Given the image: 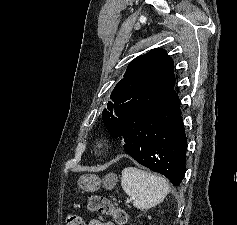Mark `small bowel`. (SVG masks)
I'll return each mask as SVG.
<instances>
[{
    "label": "small bowel",
    "mask_w": 237,
    "mask_h": 225,
    "mask_svg": "<svg viewBox=\"0 0 237 225\" xmlns=\"http://www.w3.org/2000/svg\"><path fill=\"white\" fill-rule=\"evenodd\" d=\"M88 225H114V223L105 221L102 218H93L89 221Z\"/></svg>",
    "instance_id": "obj_1"
}]
</instances>
